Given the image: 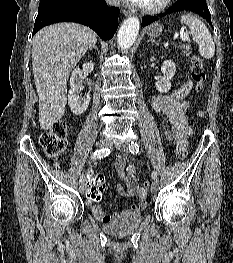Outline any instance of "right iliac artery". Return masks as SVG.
<instances>
[{
	"mask_svg": "<svg viewBox=\"0 0 233 263\" xmlns=\"http://www.w3.org/2000/svg\"><path fill=\"white\" fill-rule=\"evenodd\" d=\"M110 153H111V149L102 148V149L95 151L94 154L91 156V159H93V160L98 159L99 160V159H102V158L108 156ZM84 180H85V176H84V174H82L80 177V182H84Z\"/></svg>",
	"mask_w": 233,
	"mask_h": 263,
	"instance_id": "obj_1",
	"label": "right iliac artery"
}]
</instances>
